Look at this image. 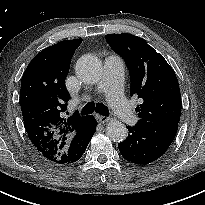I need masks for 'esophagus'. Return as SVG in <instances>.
<instances>
[{"label": "esophagus", "instance_id": "obj_1", "mask_svg": "<svg viewBox=\"0 0 205 205\" xmlns=\"http://www.w3.org/2000/svg\"><path fill=\"white\" fill-rule=\"evenodd\" d=\"M97 119L100 123H107L109 122L110 118L107 116H103V115H98Z\"/></svg>", "mask_w": 205, "mask_h": 205}]
</instances>
